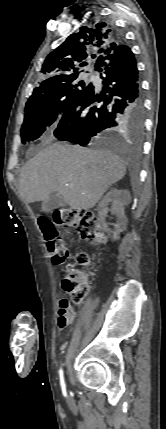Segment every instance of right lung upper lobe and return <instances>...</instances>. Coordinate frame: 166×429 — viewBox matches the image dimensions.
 Instances as JSON below:
<instances>
[{"label":"right lung upper lobe","instance_id":"1","mask_svg":"<svg viewBox=\"0 0 166 429\" xmlns=\"http://www.w3.org/2000/svg\"><path fill=\"white\" fill-rule=\"evenodd\" d=\"M122 46L113 32L108 33L101 28L82 27L80 32L71 34L47 56L41 69L44 80L33 93L78 75L80 67L85 66L89 58H95L97 61L105 53L111 54Z\"/></svg>","mask_w":166,"mask_h":429}]
</instances>
